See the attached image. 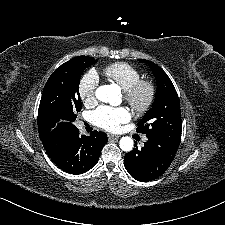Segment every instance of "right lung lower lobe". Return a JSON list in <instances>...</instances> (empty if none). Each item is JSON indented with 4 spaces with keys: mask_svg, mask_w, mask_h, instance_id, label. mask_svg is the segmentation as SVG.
Returning <instances> with one entry per match:
<instances>
[{
    "mask_svg": "<svg viewBox=\"0 0 225 225\" xmlns=\"http://www.w3.org/2000/svg\"><path fill=\"white\" fill-rule=\"evenodd\" d=\"M107 141L103 132L93 131L90 136H80L77 129L64 137L61 145L48 155L63 171L82 174L95 166Z\"/></svg>",
    "mask_w": 225,
    "mask_h": 225,
    "instance_id": "obj_1",
    "label": "right lung lower lobe"
}]
</instances>
